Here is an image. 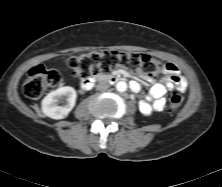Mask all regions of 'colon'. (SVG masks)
I'll use <instances>...</instances> for the list:
<instances>
[{
	"label": "colon",
	"instance_id": "obj_1",
	"mask_svg": "<svg viewBox=\"0 0 222 187\" xmlns=\"http://www.w3.org/2000/svg\"><path fill=\"white\" fill-rule=\"evenodd\" d=\"M68 66L82 80H89L99 74H107L116 68H123L133 73L153 76L164 70L165 65L147 54L130 53L114 50L90 52L71 57ZM61 75L42 65L32 68L24 84V94L28 99L40 98L44 92L61 84ZM183 103L180 92L174 91L168 97V111L177 113Z\"/></svg>",
	"mask_w": 222,
	"mask_h": 187
}]
</instances>
